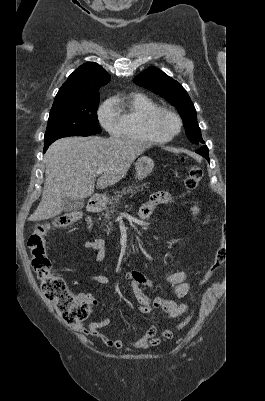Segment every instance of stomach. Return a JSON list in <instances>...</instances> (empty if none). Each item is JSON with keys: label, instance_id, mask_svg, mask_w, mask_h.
Wrapping results in <instances>:
<instances>
[{"label": "stomach", "instance_id": "obj_1", "mask_svg": "<svg viewBox=\"0 0 265 401\" xmlns=\"http://www.w3.org/2000/svg\"><path fill=\"white\" fill-rule=\"evenodd\" d=\"M154 168V160L150 156H140L135 162L136 178L143 180Z\"/></svg>", "mask_w": 265, "mask_h": 401}]
</instances>
